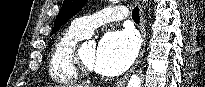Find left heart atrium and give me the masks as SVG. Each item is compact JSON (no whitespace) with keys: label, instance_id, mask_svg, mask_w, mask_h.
I'll use <instances>...</instances> for the list:
<instances>
[{"label":"left heart atrium","instance_id":"1","mask_svg":"<svg viewBox=\"0 0 205 87\" xmlns=\"http://www.w3.org/2000/svg\"><path fill=\"white\" fill-rule=\"evenodd\" d=\"M137 51L138 40L132 31H110L97 47L94 69L106 76H116L132 64Z\"/></svg>","mask_w":205,"mask_h":87}]
</instances>
